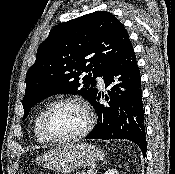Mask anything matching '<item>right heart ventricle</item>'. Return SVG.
Here are the masks:
<instances>
[{
    "instance_id": "1",
    "label": "right heart ventricle",
    "mask_w": 175,
    "mask_h": 174,
    "mask_svg": "<svg viewBox=\"0 0 175 174\" xmlns=\"http://www.w3.org/2000/svg\"><path fill=\"white\" fill-rule=\"evenodd\" d=\"M44 110H45V108H42L37 113L35 120H34V124H33L34 135H35L36 139L38 140V142H40V143H48L49 142V140L44 135L42 128H41V117H42Z\"/></svg>"
}]
</instances>
